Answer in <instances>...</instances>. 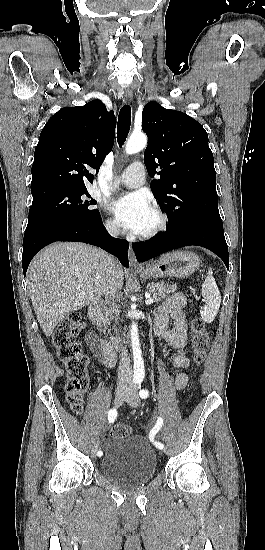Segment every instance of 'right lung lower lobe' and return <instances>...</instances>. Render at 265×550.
<instances>
[{"label":"right lung lower lobe","mask_w":265,"mask_h":550,"mask_svg":"<svg viewBox=\"0 0 265 550\" xmlns=\"http://www.w3.org/2000/svg\"><path fill=\"white\" fill-rule=\"evenodd\" d=\"M56 241L84 242L98 246L116 256L123 266L129 267V243L111 237L102 224L101 217L95 220H63L25 231L22 256L24 276L35 254Z\"/></svg>","instance_id":"1"}]
</instances>
